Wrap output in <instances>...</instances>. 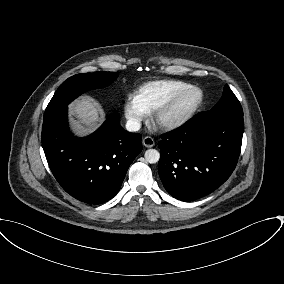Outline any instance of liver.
<instances>
[{
	"label": "liver",
	"instance_id": "6515ba94",
	"mask_svg": "<svg viewBox=\"0 0 284 284\" xmlns=\"http://www.w3.org/2000/svg\"><path fill=\"white\" fill-rule=\"evenodd\" d=\"M76 120L74 124L80 133H85L97 127L101 118L98 105L90 99L82 98L71 106Z\"/></svg>",
	"mask_w": 284,
	"mask_h": 284
}]
</instances>
